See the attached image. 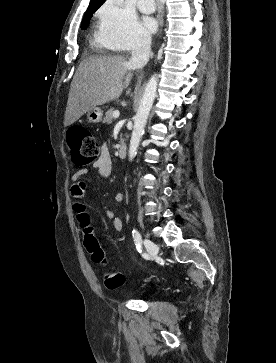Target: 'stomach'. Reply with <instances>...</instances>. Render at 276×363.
<instances>
[{
	"label": "stomach",
	"mask_w": 276,
	"mask_h": 363,
	"mask_svg": "<svg viewBox=\"0 0 276 363\" xmlns=\"http://www.w3.org/2000/svg\"><path fill=\"white\" fill-rule=\"evenodd\" d=\"M103 111L99 107H94L87 112V119L90 123H99L102 120Z\"/></svg>",
	"instance_id": "1"
}]
</instances>
